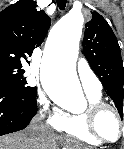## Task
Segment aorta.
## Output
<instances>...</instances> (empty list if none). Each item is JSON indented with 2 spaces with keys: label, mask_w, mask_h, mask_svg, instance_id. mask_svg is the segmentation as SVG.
Returning a JSON list of instances; mask_svg holds the SVG:
<instances>
[{
  "label": "aorta",
  "mask_w": 124,
  "mask_h": 149,
  "mask_svg": "<svg viewBox=\"0 0 124 149\" xmlns=\"http://www.w3.org/2000/svg\"><path fill=\"white\" fill-rule=\"evenodd\" d=\"M83 15L70 11L52 28L41 66V84L47 95L73 108H83L85 99L76 73Z\"/></svg>",
  "instance_id": "aorta-1"
}]
</instances>
